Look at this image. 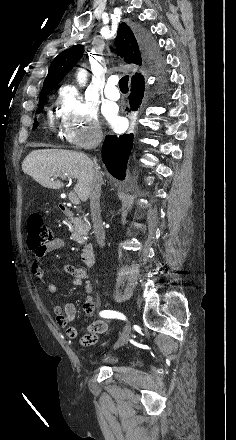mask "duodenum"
<instances>
[{
	"label": "duodenum",
	"instance_id": "duodenum-1",
	"mask_svg": "<svg viewBox=\"0 0 236 440\" xmlns=\"http://www.w3.org/2000/svg\"><path fill=\"white\" fill-rule=\"evenodd\" d=\"M59 208L64 216L73 218L75 216L73 210L69 208L65 203H60ZM95 252L91 243L85 244L82 253L81 261L86 267H91L94 264Z\"/></svg>",
	"mask_w": 236,
	"mask_h": 440
}]
</instances>
